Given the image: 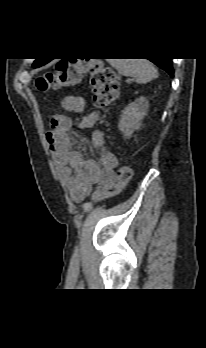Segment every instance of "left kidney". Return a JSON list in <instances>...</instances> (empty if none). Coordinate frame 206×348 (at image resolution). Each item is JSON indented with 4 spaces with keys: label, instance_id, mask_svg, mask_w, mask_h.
Segmentation results:
<instances>
[{
    "label": "left kidney",
    "instance_id": "5707ae66",
    "mask_svg": "<svg viewBox=\"0 0 206 348\" xmlns=\"http://www.w3.org/2000/svg\"><path fill=\"white\" fill-rule=\"evenodd\" d=\"M148 108L149 101L143 96L125 107L119 121V129L125 138H130L135 130L140 129Z\"/></svg>",
    "mask_w": 206,
    "mask_h": 348
}]
</instances>
